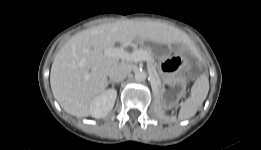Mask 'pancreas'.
<instances>
[{
	"mask_svg": "<svg viewBox=\"0 0 261 150\" xmlns=\"http://www.w3.org/2000/svg\"><path fill=\"white\" fill-rule=\"evenodd\" d=\"M144 51H146L148 56H149V59L147 60V63H148L149 67L152 70V75L155 78H157L158 77V74H157L158 65H157V63L155 62V60H154V58L152 56L151 50L149 48H146V49H144Z\"/></svg>",
	"mask_w": 261,
	"mask_h": 150,
	"instance_id": "obj_1",
	"label": "pancreas"
}]
</instances>
